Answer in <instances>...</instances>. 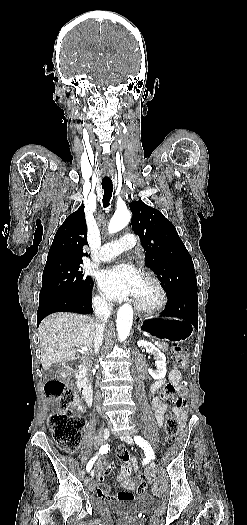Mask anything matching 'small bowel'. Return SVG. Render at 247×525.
Returning a JSON list of instances; mask_svg holds the SVG:
<instances>
[{
    "instance_id": "small-bowel-1",
    "label": "small bowel",
    "mask_w": 247,
    "mask_h": 525,
    "mask_svg": "<svg viewBox=\"0 0 247 525\" xmlns=\"http://www.w3.org/2000/svg\"><path fill=\"white\" fill-rule=\"evenodd\" d=\"M169 381L171 384L175 385L177 387V391L180 395L185 394V386L182 383V376L179 370L173 369L169 373ZM154 414L156 422L159 426H162L164 423V418L166 413L168 412L169 408L167 404L164 402L163 395H157L153 398L152 401ZM173 412L178 416L179 420L182 422L184 420V411H179L178 409L174 408ZM118 456L122 462V465L120 467V471L118 474V481L120 485L123 487V491L119 492L116 496V499L119 501H130L133 499V490L135 488V484L131 480V474L138 472L139 470V464L136 457L131 456L130 453L124 449L119 448L118 449ZM115 473V470L112 468H105L103 469V474L105 475H112ZM98 482V490L101 493H105L108 490V482L106 479H104V476L102 474H99L97 476ZM101 497H108V495L100 494Z\"/></svg>"
}]
</instances>
